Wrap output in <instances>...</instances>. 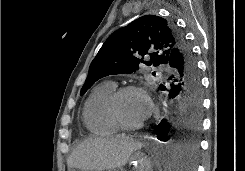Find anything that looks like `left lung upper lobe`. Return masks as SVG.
I'll return each instance as SVG.
<instances>
[{"instance_id": "obj_1", "label": "left lung upper lobe", "mask_w": 245, "mask_h": 171, "mask_svg": "<svg viewBox=\"0 0 245 171\" xmlns=\"http://www.w3.org/2000/svg\"><path fill=\"white\" fill-rule=\"evenodd\" d=\"M174 23L156 15H145L112 33L91 62L80 95L99 79L112 74H131L142 63L147 66L168 64L170 56L186 45ZM145 55L150 61L143 60Z\"/></svg>"}]
</instances>
